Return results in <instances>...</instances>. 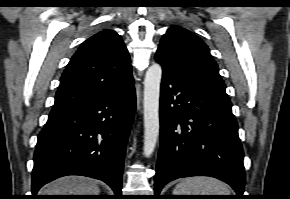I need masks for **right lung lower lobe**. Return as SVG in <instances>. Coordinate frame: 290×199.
<instances>
[{"label":"right lung lower lobe","instance_id":"right-lung-lower-lobe-1","mask_svg":"<svg viewBox=\"0 0 290 199\" xmlns=\"http://www.w3.org/2000/svg\"><path fill=\"white\" fill-rule=\"evenodd\" d=\"M136 106L134 81L123 91L52 110L38 135L32 199L46 183L82 175L107 183L121 197L126 143Z\"/></svg>","mask_w":290,"mask_h":199}]
</instances>
